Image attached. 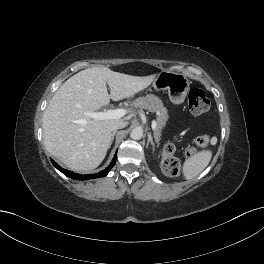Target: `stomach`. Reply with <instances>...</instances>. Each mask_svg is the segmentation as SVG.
Wrapping results in <instances>:
<instances>
[{"mask_svg": "<svg viewBox=\"0 0 264 264\" xmlns=\"http://www.w3.org/2000/svg\"><path fill=\"white\" fill-rule=\"evenodd\" d=\"M190 82L182 74L171 71H162L157 74L153 81L156 90H167L169 99L174 104H181L189 91Z\"/></svg>", "mask_w": 264, "mask_h": 264, "instance_id": "stomach-1", "label": "stomach"}]
</instances>
